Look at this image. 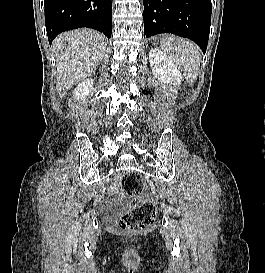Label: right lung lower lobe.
I'll return each mask as SVG.
<instances>
[{"mask_svg":"<svg viewBox=\"0 0 265 273\" xmlns=\"http://www.w3.org/2000/svg\"><path fill=\"white\" fill-rule=\"evenodd\" d=\"M45 25L49 42L61 32L88 27L110 38L111 0H44Z\"/></svg>","mask_w":265,"mask_h":273,"instance_id":"1","label":"right lung lower lobe"}]
</instances>
